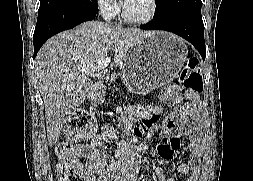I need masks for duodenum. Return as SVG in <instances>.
<instances>
[{"instance_id": "1", "label": "duodenum", "mask_w": 253, "mask_h": 181, "mask_svg": "<svg viewBox=\"0 0 253 181\" xmlns=\"http://www.w3.org/2000/svg\"><path fill=\"white\" fill-rule=\"evenodd\" d=\"M104 95V87L100 84L96 85V87L91 91L90 96L92 100H99Z\"/></svg>"}]
</instances>
